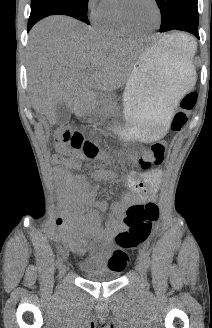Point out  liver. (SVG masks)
<instances>
[{"label":"liver","mask_w":212,"mask_h":328,"mask_svg":"<svg viewBox=\"0 0 212 328\" xmlns=\"http://www.w3.org/2000/svg\"><path fill=\"white\" fill-rule=\"evenodd\" d=\"M141 53L133 41L105 37L68 16L41 20L30 31L28 42L34 110L55 124L57 103L71 107L90 89L111 92L122 87Z\"/></svg>","instance_id":"1"}]
</instances>
